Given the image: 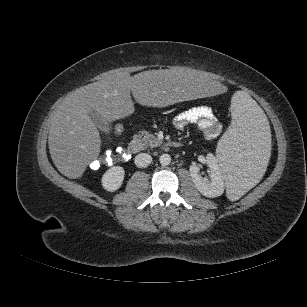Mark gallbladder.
Masks as SVG:
<instances>
[{"mask_svg": "<svg viewBox=\"0 0 307 307\" xmlns=\"http://www.w3.org/2000/svg\"><path fill=\"white\" fill-rule=\"evenodd\" d=\"M92 118L94 124L104 133L109 134L110 125L109 123L96 111H91L89 113Z\"/></svg>", "mask_w": 307, "mask_h": 307, "instance_id": "gallbladder-1", "label": "gallbladder"}]
</instances>
